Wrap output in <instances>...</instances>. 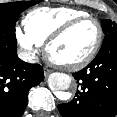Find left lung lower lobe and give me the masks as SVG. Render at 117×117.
Listing matches in <instances>:
<instances>
[{"mask_svg":"<svg viewBox=\"0 0 117 117\" xmlns=\"http://www.w3.org/2000/svg\"><path fill=\"white\" fill-rule=\"evenodd\" d=\"M75 98L59 104L63 117H115L117 114V34L103 42L94 60L73 73Z\"/></svg>","mask_w":117,"mask_h":117,"instance_id":"1","label":"left lung lower lobe"}]
</instances>
